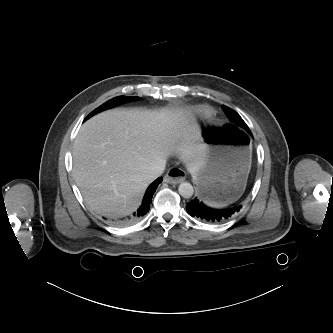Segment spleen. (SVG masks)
I'll list each match as a JSON object with an SVG mask.
<instances>
[{"label":"spleen","mask_w":333,"mask_h":333,"mask_svg":"<svg viewBox=\"0 0 333 333\" xmlns=\"http://www.w3.org/2000/svg\"><path fill=\"white\" fill-rule=\"evenodd\" d=\"M204 202H205V204H207V205H209L211 207H220V205H218V204H216L214 202H210L208 200H205Z\"/></svg>","instance_id":"3e777b00"}]
</instances>
